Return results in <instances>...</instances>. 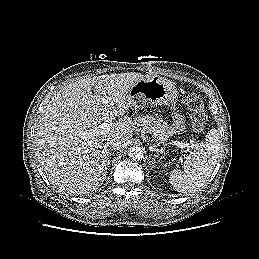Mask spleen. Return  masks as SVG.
<instances>
[{
	"instance_id": "spleen-1",
	"label": "spleen",
	"mask_w": 259,
	"mask_h": 259,
	"mask_svg": "<svg viewBox=\"0 0 259 259\" xmlns=\"http://www.w3.org/2000/svg\"><path fill=\"white\" fill-rule=\"evenodd\" d=\"M219 149L220 134L216 129H211L206 134L203 147L186 157L184 170L171 171V185L180 193H192L203 187L217 164Z\"/></svg>"
}]
</instances>
